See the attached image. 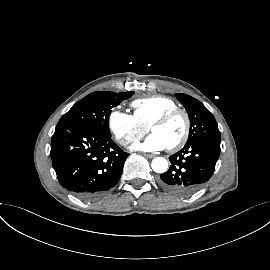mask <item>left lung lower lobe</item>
I'll return each instance as SVG.
<instances>
[{
  "instance_id": "obj_1",
  "label": "left lung lower lobe",
  "mask_w": 270,
  "mask_h": 270,
  "mask_svg": "<svg viewBox=\"0 0 270 270\" xmlns=\"http://www.w3.org/2000/svg\"><path fill=\"white\" fill-rule=\"evenodd\" d=\"M220 154V140L198 139L171 155L169 170L160 175V185L177 195H190L211 178Z\"/></svg>"
}]
</instances>
